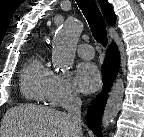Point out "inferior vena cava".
I'll list each match as a JSON object with an SVG mask.
<instances>
[{
	"mask_svg": "<svg viewBox=\"0 0 144 137\" xmlns=\"http://www.w3.org/2000/svg\"><path fill=\"white\" fill-rule=\"evenodd\" d=\"M81 104L82 101L77 93H73L70 96L67 105V115L72 119L73 126L80 132V137H82L81 131Z\"/></svg>",
	"mask_w": 144,
	"mask_h": 137,
	"instance_id": "inferior-vena-cava-1",
	"label": "inferior vena cava"
}]
</instances>
